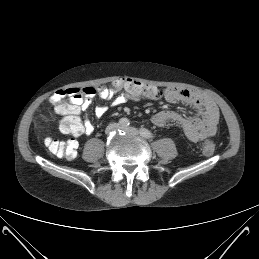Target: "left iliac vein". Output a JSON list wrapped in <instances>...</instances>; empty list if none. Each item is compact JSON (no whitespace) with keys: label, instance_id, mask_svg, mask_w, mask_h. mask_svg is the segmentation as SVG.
<instances>
[{"label":"left iliac vein","instance_id":"1","mask_svg":"<svg viewBox=\"0 0 259 259\" xmlns=\"http://www.w3.org/2000/svg\"><path fill=\"white\" fill-rule=\"evenodd\" d=\"M120 128L129 135L137 136L140 134V132L134 127H120Z\"/></svg>","mask_w":259,"mask_h":259}]
</instances>
